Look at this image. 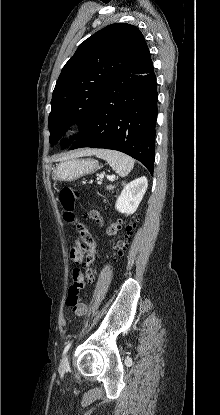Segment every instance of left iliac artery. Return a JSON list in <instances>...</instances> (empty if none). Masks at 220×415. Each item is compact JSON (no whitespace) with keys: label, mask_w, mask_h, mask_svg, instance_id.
<instances>
[{"label":"left iliac artery","mask_w":220,"mask_h":415,"mask_svg":"<svg viewBox=\"0 0 220 415\" xmlns=\"http://www.w3.org/2000/svg\"><path fill=\"white\" fill-rule=\"evenodd\" d=\"M70 346H71V343H68V344L65 346L64 351H63V355H65V354L67 353V351L69 350Z\"/></svg>","instance_id":"left-iliac-artery-1"}]
</instances>
